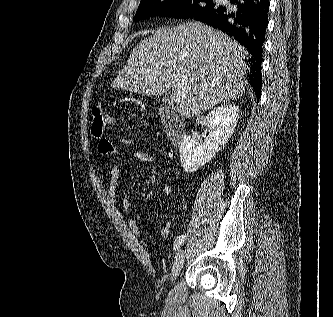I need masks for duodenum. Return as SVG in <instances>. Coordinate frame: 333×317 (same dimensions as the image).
I'll list each match as a JSON object with an SVG mask.
<instances>
[{
	"label": "duodenum",
	"instance_id": "1",
	"mask_svg": "<svg viewBox=\"0 0 333 317\" xmlns=\"http://www.w3.org/2000/svg\"><path fill=\"white\" fill-rule=\"evenodd\" d=\"M159 117L170 142L176 147L181 146L186 138V129L184 124L174 115L172 106L162 105Z\"/></svg>",
	"mask_w": 333,
	"mask_h": 317
}]
</instances>
